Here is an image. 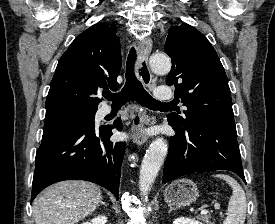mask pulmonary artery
I'll return each mask as SVG.
<instances>
[{
    "mask_svg": "<svg viewBox=\"0 0 275 224\" xmlns=\"http://www.w3.org/2000/svg\"><path fill=\"white\" fill-rule=\"evenodd\" d=\"M155 99L158 101H170L173 99V91L170 87L163 86L155 89ZM110 110L108 109L107 112Z\"/></svg>",
    "mask_w": 275,
    "mask_h": 224,
    "instance_id": "e3ab8cb5",
    "label": "pulmonary artery"
}]
</instances>
